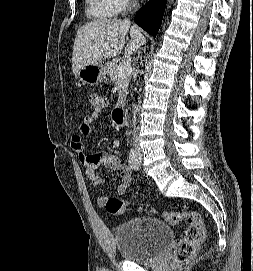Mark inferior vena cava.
Masks as SVG:
<instances>
[{"label":"inferior vena cava","mask_w":253,"mask_h":271,"mask_svg":"<svg viewBox=\"0 0 253 271\" xmlns=\"http://www.w3.org/2000/svg\"><path fill=\"white\" fill-rule=\"evenodd\" d=\"M136 112H137V106L133 104V126H134V131H133V144L135 149L139 150V147L137 145V135H136Z\"/></svg>","instance_id":"1"}]
</instances>
